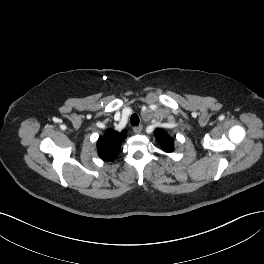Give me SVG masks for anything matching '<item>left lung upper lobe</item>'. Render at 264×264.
I'll list each match as a JSON object with an SVG mask.
<instances>
[{"mask_svg":"<svg viewBox=\"0 0 264 264\" xmlns=\"http://www.w3.org/2000/svg\"><path fill=\"white\" fill-rule=\"evenodd\" d=\"M155 135L164 151H173V140L167 133L163 132L161 129H156Z\"/></svg>","mask_w":264,"mask_h":264,"instance_id":"left-lung-upper-lobe-1","label":"left lung upper lobe"}]
</instances>
